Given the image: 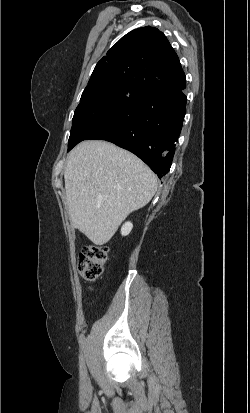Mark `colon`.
I'll return each mask as SVG.
<instances>
[{
    "mask_svg": "<svg viewBox=\"0 0 250 413\" xmlns=\"http://www.w3.org/2000/svg\"><path fill=\"white\" fill-rule=\"evenodd\" d=\"M108 259V250L105 246L88 244L85 245L78 260L80 275L87 281H95L100 278Z\"/></svg>",
    "mask_w": 250,
    "mask_h": 413,
    "instance_id": "obj_1",
    "label": "colon"
}]
</instances>
